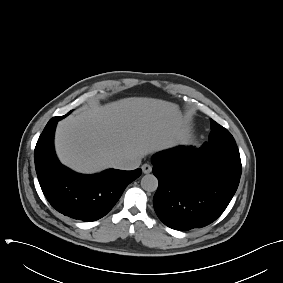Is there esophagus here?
Segmentation results:
<instances>
[{
    "label": "esophagus",
    "mask_w": 283,
    "mask_h": 283,
    "mask_svg": "<svg viewBox=\"0 0 283 283\" xmlns=\"http://www.w3.org/2000/svg\"><path fill=\"white\" fill-rule=\"evenodd\" d=\"M141 169H142V172H143L144 174H148V173H150V172L152 171L151 165H149V164H147V163L143 164L142 167H141Z\"/></svg>",
    "instance_id": "1"
}]
</instances>
